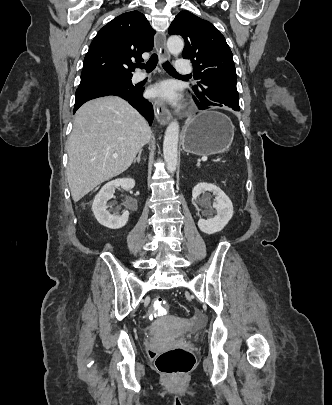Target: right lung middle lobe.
<instances>
[{
    "mask_svg": "<svg viewBox=\"0 0 332 405\" xmlns=\"http://www.w3.org/2000/svg\"><path fill=\"white\" fill-rule=\"evenodd\" d=\"M92 83H115L127 86L133 85L131 82V76L101 74L93 76H81V82L79 86H84Z\"/></svg>",
    "mask_w": 332,
    "mask_h": 405,
    "instance_id": "right-lung-middle-lobe-1",
    "label": "right lung middle lobe"
}]
</instances>
